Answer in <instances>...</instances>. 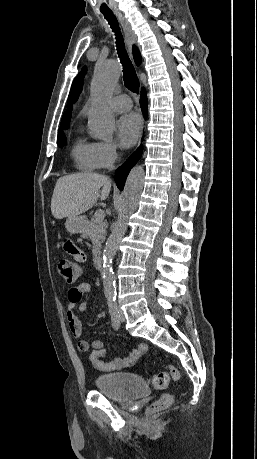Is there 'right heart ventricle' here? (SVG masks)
<instances>
[{"label":"right heart ventricle","instance_id":"obj_1","mask_svg":"<svg viewBox=\"0 0 257 459\" xmlns=\"http://www.w3.org/2000/svg\"><path fill=\"white\" fill-rule=\"evenodd\" d=\"M72 156L76 167L84 171H92L98 167L95 154L94 143L83 138H78L72 148Z\"/></svg>","mask_w":257,"mask_h":459}]
</instances>
